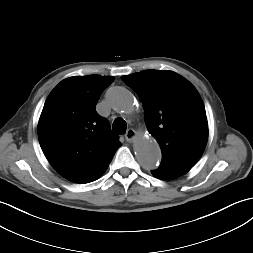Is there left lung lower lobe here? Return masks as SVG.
Masks as SVG:
<instances>
[{"label":"left lung lower lobe","instance_id":"0a47b994","mask_svg":"<svg viewBox=\"0 0 253 253\" xmlns=\"http://www.w3.org/2000/svg\"><path fill=\"white\" fill-rule=\"evenodd\" d=\"M190 169L191 167L187 166L161 164L157 170L151 173L156 178L170 180L185 174Z\"/></svg>","mask_w":253,"mask_h":253}]
</instances>
